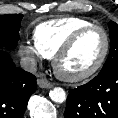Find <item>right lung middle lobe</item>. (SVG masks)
Masks as SVG:
<instances>
[{"label":"right lung middle lobe","mask_w":118,"mask_h":118,"mask_svg":"<svg viewBox=\"0 0 118 118\" xmlns=\"http://www.w3.org/2000/svg\"><path fill=\"white\" fill-rule=\"evenodd\" d=\"M22 14L0 16V46L14 49L19 39Z\"/></svg>","instance_id":"right-lung-middle-lobe-1"}]
</instances>
